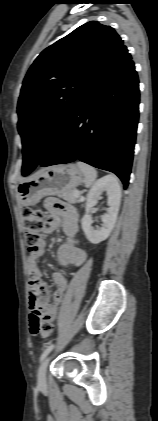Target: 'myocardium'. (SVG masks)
Returning <instances> with one entry per match:
<instances>
[{
    "label": "myocardium",
    "mask_w": 158,
    "mask_h": 421,
    "mask_svg": "<svg viewBox=\"0 0 158 421\" xmlns=\"http://www.w3.org/2000/svg\"><path fill=\"white\" fill-rule=\"evenodd\" d=\"M48 149V142L44 141L38 146L39 151H46Z\"/></svg>",
    "instance_id": "1"
}]
</instances>
